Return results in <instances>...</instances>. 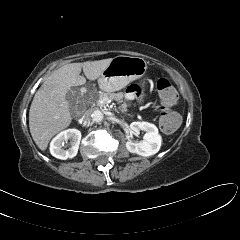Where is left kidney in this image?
<instances>
[{"label":"left kidney","instance_id":"left-kidney-1","mask_svg":"<svg viewBox=\"0 0 240 240\" xmlns=\"http://www.w3.org/2000/svg\"><path fill=\"white\" fill-rule=\"evenodd\" d=\"M130 128L133 132L139 133L145 131L143 140L140 142L127 141L126 148L130 153H136L140 156H151L156 154L161 147V136L158 133V128L148 122H132Z\"/></svg>","mask_w":240,"mask_h":240}]
</instances>
